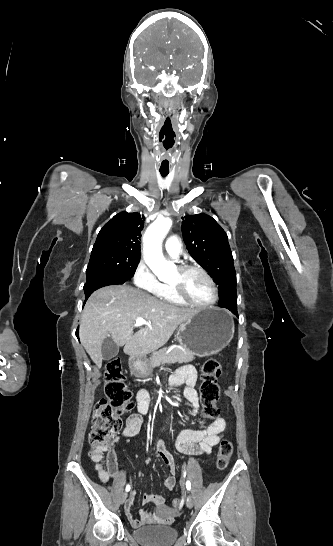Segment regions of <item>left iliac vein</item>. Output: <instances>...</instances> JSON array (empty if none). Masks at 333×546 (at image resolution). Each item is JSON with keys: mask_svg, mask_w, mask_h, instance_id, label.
<instances>
[{"mask_svg": "<svg viewBox=\"0 0 333 546\" xmlns=\"http://www.w3.org/2000/svg\"><path fill=\"white\" fill-rule=\"evenodd\" d=\"M186 505L188 508H192L193 507V499L191 496H188L187 499H186Z\"/></svg>", "mask_w": 333, "mask_h": 546, "instance_id": "1", "label": "left iliac vein"}]
</instances>
